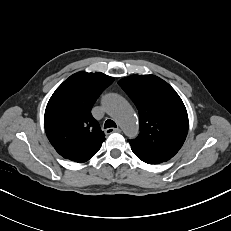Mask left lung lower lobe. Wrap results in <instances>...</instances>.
<instances>
[{"instance_id": "0a47b994", "label": "left lung lower lobe", "mask_w": 231, "mask_h": 231, "mask_svg": "<svg viewBox=\"0 0 231 231\" xmlns=\"http://www.w3.org/2000/svg\"><path fill=\"white\" fill-rule=\"evenodd\" d=\"M132 151L140 160L148 164H159V163L166 162L169 160V158L162 157V156L146 155V154L136 152L134 150Z\"/></svg>"}]
</instances>
